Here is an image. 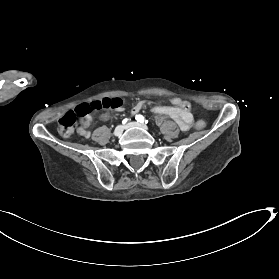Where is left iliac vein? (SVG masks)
I'll use <instances>...</instances> for the list:
<instances>
[{
  "mask_svg": "<svg viewBox=\"0 0 279 279\" xmlns=\"http://www.w3.org/2000/svg\"><path fill=\"white\" fill-rule=\"evenodd\" d=\"M134 127H139V128L148 130V127H147L146 125L140 124V123H138V122H130V123H128V124L125 126L126 129L134 128Z\"/></svg>",
  "mask_w": 279,
  "mask_h": 279,
  "instance_id": "4c4485c4",
  "label": "left iliac vein"
}]
</instances>
